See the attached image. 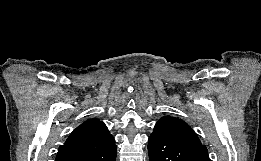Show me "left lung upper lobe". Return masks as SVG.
<instances>
[{"label":"left lung upper lobe","instance_id":"1","mask_svg":"<svg viewBox=\"0 0 261 161\" xmlns=\"http://www.w3.org/2000/svg\"><path fill=\"white\" fill-rule=\"evenodd\" d=\"M151 135L182 145L205 146L201 144L188 124L181 119L170 116L162 117L156 123Z\"/></svg>","mask_w":261,"mask_h":161}]
</instances>
